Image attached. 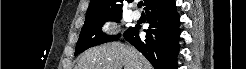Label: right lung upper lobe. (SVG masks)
Masks as SVG:
<instances>
[{
    "label": "right lung upper lobe",
    "instance_id": "obj_1",
    "mask_svg": "<svg viewBox=\"0 0 246 69\" xmlns=\"http://www.w3.org/2000/svg\"><path fill=\"white\" fill-rule=\"evenodd\" d=\"M156 1L159 0H144L145 9ZM122 2L123 0H91L85 21L98 20L113 15H122Z\"/></svg>",
    "mask_w": 246,
    "mask_h": 69
}]
</instances>
